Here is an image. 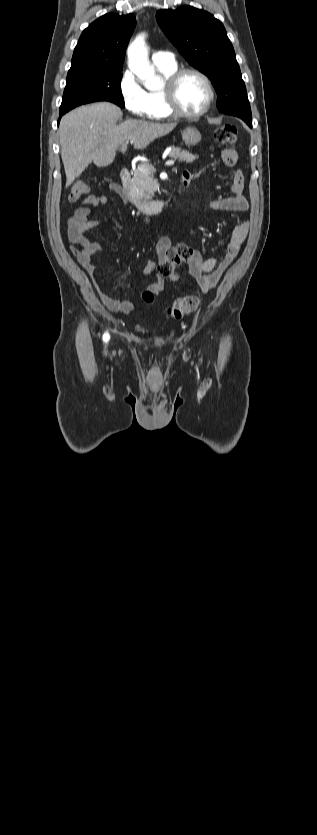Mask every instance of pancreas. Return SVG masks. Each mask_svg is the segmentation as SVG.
Wrapping results in <instances>:
<instances>
[{"instance_id":"cf45deb5","label":"pancreas","mask_w":317,"mask_h":835,"mask_svg":"<svg viewBox=\"0 0 317 835\" xmlns=\"http://www.w3.org/2000/svg\"><path fill=\"white\" fill-rule=\"evenodd\" d=\"M170 158L178 159L180 162L192 163L198 156L191 154L187 150H180L173 148L169 153ZM146 167V171L137 169L131 181L128 184V199L136 204L142 200L151 199L157 188V183L153 179V166L151 164H141Z\"/></svg>"}]
</instances>
